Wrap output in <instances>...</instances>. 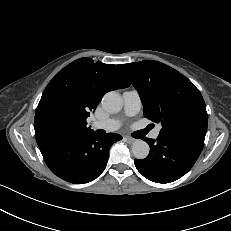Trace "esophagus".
<instances>
[{
	"mask_svg": "<svg viewBox=\"0 0 231 231\" xmlns=\"http://www.w3.org/2000/svg\"><path fill=\"white\" fill-rule=\"evenodd\" d=\"M124 139L126 140V142L132 144L135 143L137 141V139L133 138V137H129V136H125Z\"/></svg>",
	"mask_w": 231,
	"mask_h": 231,
	"instance_id": "34e87169",
	"label": "esophagus"
}]
</instances>
